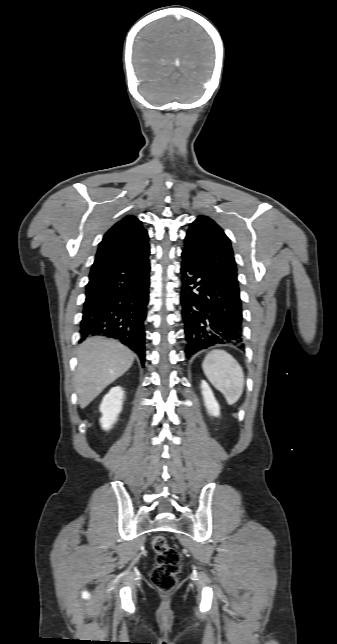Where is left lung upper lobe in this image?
I'll use <instances>...</instances> for the list:
<instances>
[{
  "mask_svg": "<svg viewBox=\"0 0 337 644\" xmlns=\"http://www.w3.org/2000/svg\"><path fill=\"white\" fill-rule=\"evenodd\" d=\"M182 255L210 269L239 295L237 268L230 240L212 219L199 216L191 223Z\"/></svg>",
  "mask_w": 337,
  "mask_h": 644,
  "instance_id": "5c2ea615",
  "label": "left lung upper lobe"
}]
</instances>
